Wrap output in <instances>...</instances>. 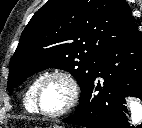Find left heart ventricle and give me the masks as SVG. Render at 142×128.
<instances>
[{
  "label": "left heart ventricle",
  "mask_w": 142,
  "mask_h": 128,
  "mask_svg": "<svg viewBox=\"0 0 142 128\" xmlns=\"http://www.w3.org/2000/svg\"><path fill=\"white\" fill-rule=\"evenodd\" d=\"M69 89L67 84L60 78L46 79L41 86L40 107L46 112H57L67 103Z\"/></svg>",
  "instance_id": "left-heart-ventricle-1"
}]
</instances>
